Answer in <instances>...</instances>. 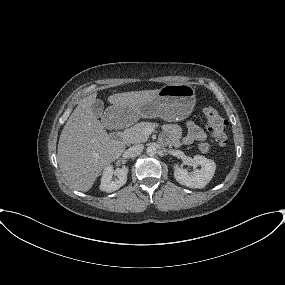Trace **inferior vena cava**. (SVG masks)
Segmentation results:
<instances>
[{
    "mask_svg": "<svg viewBox=\"0 0 285 285\" xmlns=\"http://www.w3.org/2000/svg\"><path fill=\"white\" fill-rule=\"evenodd\" d=\"M144 146L142 144L133 145L128 149V152L131 156H137L142 153Z\"/></svg>",
    "mask_w": 285,
    "mask_h": 285,
    "instance_id": "inferior-vena-cava-1",
    "label": "inferior vena cava"
}]
</instances>
